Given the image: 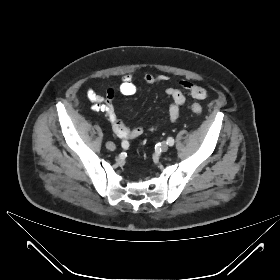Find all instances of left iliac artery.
Instances as JSON below:
<instances>
[{
	"label": "left iliac artery",
	"instance_id": "44dca946",
	"mask_svg": "<svg viewBox=\"0 0 280 280\" xmlns=\"http://www.w3.org/2000/svg\"><path fill=\"white\" fill-rule=\"evenodd\" d=\"M167 144H168L169 146H173V145H174V139H173L172 137H169V138L167 139Z\"/></svg>",
	"mask_w": 280,
	"mask_h": 280
}]
</instances>
